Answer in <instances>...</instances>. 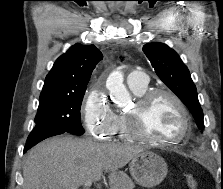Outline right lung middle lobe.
I'll return each instance as SVG.
<instances>
[{"mask_svg":"<svg viewBox=\"0 0 223 189\" xmlns=\"http://www.w3.org/2000/svg\"><path fill=\"white\" fill-rule=\"evenodd\" d=\"M86 88L74 92L41 94L32 131L62 130L83 135L80 109Z\"/></svg>","mask_w":223,"mask_h":189,"instance_id":"dd1d6c3e","label":"right lung middle lobe"}]
</instances>
